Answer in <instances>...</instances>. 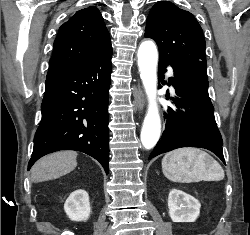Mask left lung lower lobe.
<instances>
[{
  "label": "left lung lower lobe",
  "mask_w": 250,
  "mask_h": 235,
  "mask_svg": "<svg viewBox=\"0 0 250 235\" xmlns=\"http://www.w3.org/2000/svg\"><path fill=\"white\" fill-rule=\"evenodd\" d=\"M167 66L174 70L169 84L175 88L172 100L177 109L168 108L165 130L149 159L180 147H199L212 151L225 163L222 137L208 94L206 65L200 61L170 64L159 60L160 78Z\"/></svg>",
  "instance_id": "0a47b994"
}]
</instances>
